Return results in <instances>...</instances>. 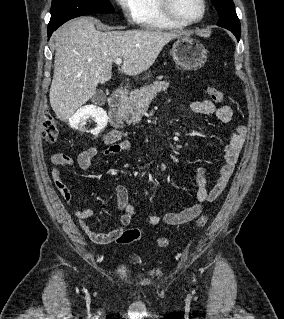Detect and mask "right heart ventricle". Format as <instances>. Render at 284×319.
<instances>
[{
    "instance_id": "obj_1",
    "label": "right heart ventricle",
    "mask_w": 284,
    "mask_h": 319,
    "mask_svg": "<svg viewBox=\"0 0 284 319\" xmlns=\"http://www.w3.org/2000/svg\"><path fill=\"white\" fill-rule=\"evenodd\" d=\"M136 23L144 29H178L183 27L164 15L159 0H139Z\"/></svg>"
}]
</instances>
